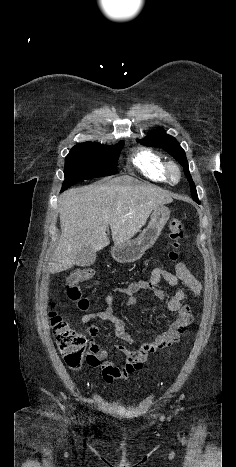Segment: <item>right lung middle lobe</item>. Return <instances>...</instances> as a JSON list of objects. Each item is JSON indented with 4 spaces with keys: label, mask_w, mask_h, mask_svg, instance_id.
I'll use <instances>...</instances> for the list:
<instances>
[{
    "label": "right lung middle lobe",
    "mask_w": 236,
    "mask_h": 467,
    "mask_svg": "<svg viewBox=\"0 0 236 467\" xmlns=\"http://www.w3.org/2000/svg\"><path fill=\"white\" fill-rule=\"evenodd\" d=\"M123 145L124 141L112 147L95 142L75 145L65 158V181L62 189L65 190L84 179L115 174Z\"/></svg>",
    "instance_id": "1"
}]
</instances>
